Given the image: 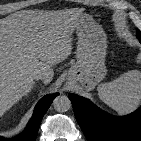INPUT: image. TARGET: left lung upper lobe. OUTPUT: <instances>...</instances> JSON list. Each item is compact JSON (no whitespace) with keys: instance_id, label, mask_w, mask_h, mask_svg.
Listing matches in <instances>:
<instances>
[{"instance_id":"1","label":"left lung upper lobe","mask_w":141,"mask_h":141,"mask_svg":"<svg viewBox=\"0 0 141 141\" xmlns=\"http://www.w3.org/2000/svg\"><path fill=\"white\" fill-rule=\"evenodd\" d=\"M137 35H141V31L137 30Z\"/></svg>"}]
</instances>
